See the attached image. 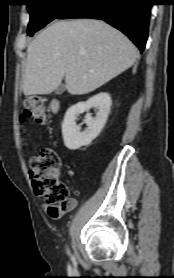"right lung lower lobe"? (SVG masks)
<instances>
[{"instance_id": "1", "label": "right lung lower lobe", "mask_w": 174, "mask_h": 278, "mask_svg": "<svg viewBox=\"0 0 174 278\" xmlns=\"http://www.w3.org/2000/svg\"><path fill=\"white\" fill-rule=\"evenodd\" d=\"M151 0H77L57 19H101L126 34L143 51L148 37Z\"/></svg>"}]
</instances>
